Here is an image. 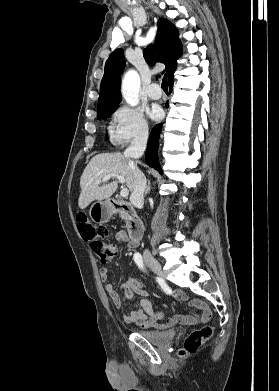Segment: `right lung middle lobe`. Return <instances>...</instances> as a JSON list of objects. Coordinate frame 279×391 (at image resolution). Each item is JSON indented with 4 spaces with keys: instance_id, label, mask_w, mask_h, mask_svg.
Masks as SVG:
<instances>
[{
    "instance_id": "dd1d6c3e",
    "label": "right lung middle lobe",
    "mask_w": 279,
    "mask_h": 391,
    "mask_svg": "<svg viewBox=\"0 0 279 391\" xmlns=\"http://www.w3.org/2000/svg\"><path fill=\"white\" fill-rule=\"evenodd\" d=\"M116 109H117V107H113V108H109V109H106V110L99 112L98 119H105V118L109 117L113 112H115Z\"/></svg>"
}]
</instances>
